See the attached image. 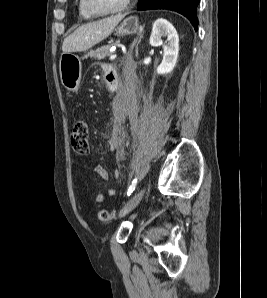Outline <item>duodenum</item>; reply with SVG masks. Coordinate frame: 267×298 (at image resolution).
Here are the masks:
<instances>
[{
    "label": "duodenum",
    "instance_id": "410a0bca",
    "mask_svg": "<svg viewBox=\"0 0 267 298\" xmlns=\"http://www.w3.org/2000/svg\"><path fill=\"white\" fill-rule=\"evenodd\" d=\"M106 80L110 90L115 91L120 89L121 84H119L118 72L113 66L106 71Z\"/></svg>",
    "mask_w": 267,
    "mask_h": 298
}]
</instances>
